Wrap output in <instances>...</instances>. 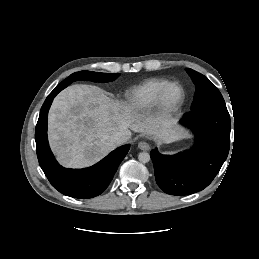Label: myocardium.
<instances>
[{"label":"myocardium","mask_w":259,"mask_h":259,"mask_svg":"<svg viewBox=\"0 0 259 259\" xmlns=\"http://www.w3.org/2000/svg\"><path fill=\"white\" fill-rule=\"evenodd\" d=\"M172 87L177 88L178 94L173 100H169L167 94ZM185 97V89L180 83L168 82L167 84H165L159 93L156 105L160 116L163 119L172 118L182 107L185 101Z\"/></svg>","instance_id":"myocardium-1"}]
</instances>
